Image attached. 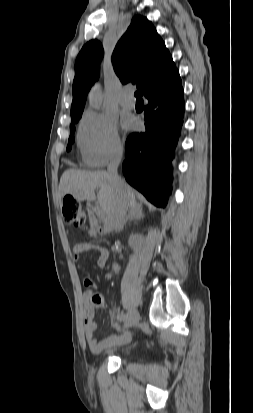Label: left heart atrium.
<instances>
[{
    "label": "left heart atrium",
    "mask_w": 253,
    "mask_h": 413,
    "mask_svg": "<svg viewBox=\"0 0 253 413\" xmlns=\"http://www.w3.org/2000/svg\"><path fill=\"white\" fill-rule=\"evenodd\" d=\"M125 124H126L127 127L133 126V122L131 120H126Z\"/></svg>",
    "instance_id": "left-heart-atrium-1"
}]
</instances>
